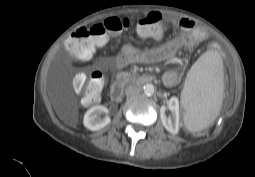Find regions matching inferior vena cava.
Wrapping results in <instances>:
<instances>
[{
    "label": "inferior vena cava",
    "mask_w": 255,
    "mask_h": 177,
    "mask_svg": "<svg viewBox=\"0 0 255 177\" xmlns=\"http://www.w3.org/2000/svg\"><path fill=\"white\" fill-rule=\"evenodd\" d=\"M140 91H141L140 88L137 86H129L125 89V94L126 96L130 97V96L138 95Z\"/></svg>",
    "instance_id": "1"
}]
</instances>
